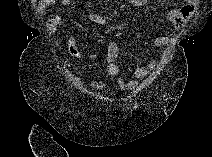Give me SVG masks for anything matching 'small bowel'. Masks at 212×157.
I'll use <instances>...</instances> for the list:
<instances>
[{
    "label": "small bowel",
    "instance_id": "obj_1",
    "mask_svg": "<svg viewBox=\"0 0 212 157\" xmlns=\"http://www.w3.org/2000/svg\"><path fill=\"white\" fill-rule=\"evenodd\" d=\"M57 0H40L38 3V12L40 15H46L47 8L54 6ZM62 5H68L70 0H60ZM195 11V3L193 1H187L179 8L171 9L168 11L166 19L169 25L175 29L181 28L184 23L192 17ZM90 19L96 24L101 26H107L106 19L99 14H91ZM48 28L51 32H55L57 28L63 27L68 35V47L70 53L78 58L85 59L84 52L78 47L77 39L78 34L74 28L69 26L64 20L58 15H52L48 19ZM171 38L169 36H162L154 39L152 45L156 47H161L169 44ZM118 57V46L114 40H110L108 44V51L106 56L107 62V74L111 78H116L115 85L119 90H125L134 88L138 85V80H142L151 75L161 63L160 58L152 59L148 64L144 66H138L133 71V78H126L121 76V65L117 62ZM88 84L92 89L103 90L105 88V83L103 81H97L94 79H88Z\"/></svg>",
    "mask_w": 212,
    "mask_h": 157
}]
</instances>
